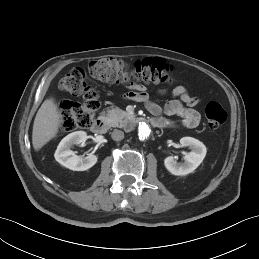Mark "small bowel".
Wrapping results in <instances>:
<instances>
[{"label": "small bowel", "mask_w": 259, "mask_h": 259, "mask_svg": "<svg viewBox=\"0 0 259 259\" xmlns=\"http://www.w3.org/2000/svg\"><path fill=\"white\" fill-rule=\"evenodd\" d=\"M128 92L124 95L126 99L141 102L146 109L156 118L164 113L167 116L182 117V126L185 128H195L199 125L201 116L194 108L198 103V98L192 97L187 92L184 86H176L172 90L174 99L169 100L163 107L151 100L144 86L139 84H132L128 87ZM160 94H165L166 90L159 91ZM165 122V126H171L172 123L161 118Z\"/></svg>", "instance_id": "obj_1"}]
</instances>
